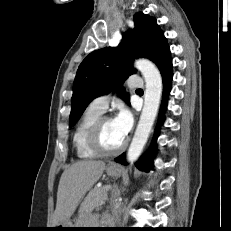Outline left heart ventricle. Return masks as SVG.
I'll list each match as a JSON object with an SVG mask.
<instances>
[{"label": "left heart ventricle", "instance_id": "b2bd125f", "mask_svg": "<svg viewBox=\"0 0 231 231\" xmlns=\"http://www.w3.org/2000/svg\"><path fill=\"white\" fill-rule=\"evenodd\" d=\"M124 140L125 138H123L120 135V133L114 125L113 120H107L104 122L101 131V142L105 148H116L119 145H121Z\"/></svg>", "mask_w": 231, "mask_h": 231}]
</instances>
